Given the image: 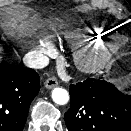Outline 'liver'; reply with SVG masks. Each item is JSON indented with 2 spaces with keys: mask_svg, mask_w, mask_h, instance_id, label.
<instances>
[{
  "mask_svg": "<svg viewBox=\"0 0 131 131\" xmlns=\"http://www.w3.org/2000/svg\"><path fill=\"white\" fill-rule=\"evenodd\" d=\"M35 20L22 12H14L3 23L4 29L11 35H24L32 30Z\"/></svg>",
  "mask_w": 131,
  "mask_h": 131,
  "instance_id": "obj_1",
  "label": "liver"
}]
</instances>
